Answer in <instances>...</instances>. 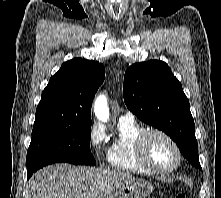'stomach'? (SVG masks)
Here are the masks:
<instances>
[{
  "instance_id": "obj_1",
  "label": "stomach",
  "mask_w": 221,
  "mask_h": 198,
  "mask_svg": "<svg viewBox=\"0 0 221 198\" xmlns=\"http://www.w3.org/2000/svg\"><path fill=\"white\" fill-rule=\"evenodd\" d=\"M152 191L151 183L142 179H133L122 183L106 198H146Z\"/></svg>"
}]
</instances>
